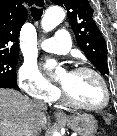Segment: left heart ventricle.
Here are the masks:
<instances>
[{"mask_svg":"<svg viewBox=\"0 0 117 136\" xmlns=\"http://www.w3.org/2000/svg\"><path fill=\"white\" fill-rule=\"evenodd\" d=\"M63 88L78 103L96 106L104 100L102 86L95 75L89 72H70L61 77Z\"/></svg>","mask_w":117,"mask_h":136,"instance_id":"1","label":"left heart ventricle"}]
</instances>
